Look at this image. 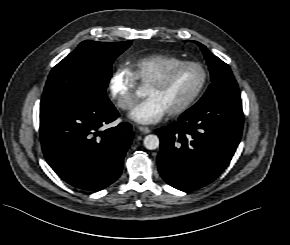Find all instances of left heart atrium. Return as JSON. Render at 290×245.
I'll return each mask as SVG.
<instances>
[{
    "label": "left heart atrium",
    "instance_id": "left-heart-atrium-1",
    "mask_svg": "<svg viewBox=\"0 0 290 245\" xmlns=\"http://www.w3.org/2000/svg\"><path fill=\"white\" fill-rule=\"evenodd\" d=\"M167 113L165 107L154 97H147L138 103L130 113V118L141 124H153Z\"/></svg>",
    "mask_w": 290,
    "mask_h": 245
}]
</instances>
